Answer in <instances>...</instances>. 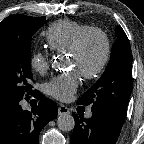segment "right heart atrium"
Masks as SVG:
<instances>
[{
    "label": "right heart atrium",
    "instance_id": "right-heart-atrium-1",
    "mask_svg": "<svg viewBox=\"0 0 144 144\" xmlns=\"http://www.w3.org/2000/svg\"><path fill=\"white\" fill-rule=\"evenodd\" d=\"M29 64L32 70L39 74H44L49 68V60L42 51H35L31 54Z\"/></svg>",
    "mask_w": 144,
    "mask_h": 144
}]
</instances>
